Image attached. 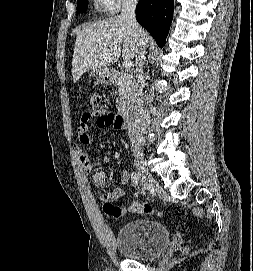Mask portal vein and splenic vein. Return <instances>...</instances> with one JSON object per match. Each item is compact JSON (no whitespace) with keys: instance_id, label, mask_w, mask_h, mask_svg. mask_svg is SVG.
<instances>
[{"instance_id":"18ae733b","label":"portal vein and splenic vein","mask_w":253,"mask_h":271,"mask_svg":"<svg viewBox=\"0 0 253 271\" xmlns=\"http://www.w3.org/2000/svg\"><path fill=\"white\" fill-rule=\"evenodd\" d=\"M133 66V63L131 60H124L123 62V67H125L126 69H129Z\"/></svg>"}]
</instances>
